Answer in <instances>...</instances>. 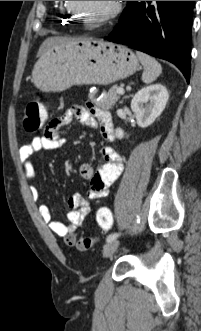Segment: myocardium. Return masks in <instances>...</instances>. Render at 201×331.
Returning <instances> with one entry per match:
<instances>
[{
	"mask_svg": "<svg viewBox=\"0 0 201 331\" xmlns=\"http://www.w3.org/2000/svg\"><path fill=\"white\" fill-rule=\"evenodd\" d=\"M67 8L73 12L74 16L77 19L83 21L85 24L89 26H99V25H104L109 21H111L112 19H114L121 11L122 5H121V1H113L110 10L94 20H88L83 16H81V14L74 7L72 1H67Z\"/></svg>",
	"mask_w": 201,
	"mask_h": 331,
	"instance_id": "obj_1",
	"label": "myocardium"
}]
</instances>
